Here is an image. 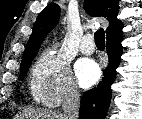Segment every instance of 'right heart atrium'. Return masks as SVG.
Segmentation results:
<instances>
[{
    "instance_id": "right-heart-atrium-1",
    "label": "right heart atrium",
    "mask_w": 142,
    "mask_h": 119,
    "mask_svg": "<svg viewBox=\"0 0 142 119\" xmlns=\"http://www.w3.org/2000/svg\"><path fill=\"white\" fill-rule=\"evenodd\" d=\"M31 75L32 93L45 106L56 107L79 96L69 63L58 50L43 52L35 61Z\"/></svg>"
}]
</instances>
